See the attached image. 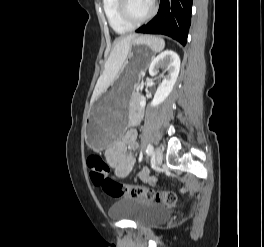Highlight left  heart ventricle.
Listing matches in <instances>:
<instances>
[{"label": "left heart ventricle", "mask_w": 264, "mask_h": 247, "mask_svg": "<svg viewBox=\"0 0 264 247\" xmlns=\"http://www.w3.org/2000/svg\"><path fill=\"white\" fill-rule=\"evenodd\" d=\"M151 7V0H129V11L134 18H142Z\"/></svg>", "instance_id": "left-heart-ventricle-1"}]
</instances>
